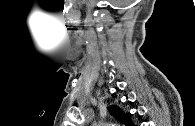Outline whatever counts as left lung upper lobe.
<instances>
[{"mask_svg": "<svg viewBox=\"0 0 195 126\" xmlns=\"http://www.w3.org/2000/svg\"><path fill=\"white\" fill-rule=\"evenodd\" d=\"M108 110L110 114L114 116L118 121L124 123L127 126H133L130 113L125 114L119 109V107L114 105L108 107Z\"/></svg>", "mask_w": 195, "mask_h": 126, "instance_id": "left-lung-upper-lobe-1", "label": "left lung upper lobe"}]
</instances>
